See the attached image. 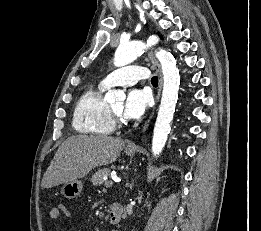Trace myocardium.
Here are the masks:
<instances>
[{
	"label": "myocardium",
	"instance_id": "myocardium-1",
	"mask_svg": "<svg viewBox=\"0 0 261 231\" xmlns=\"http://www.w3.org/2000/svg\"><path fill=\"white\" fill-rule=\"evenodd\" d=\"M109 110L114 126L122 127L126 125V121L123 119L121 114L115 112L111 107H109Z\"/></svg>",
	"mask_w": 261,
	"mask_h": 231
}]
</instances>
